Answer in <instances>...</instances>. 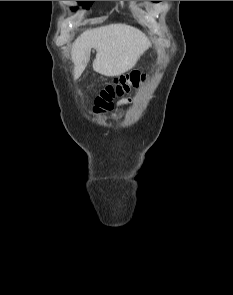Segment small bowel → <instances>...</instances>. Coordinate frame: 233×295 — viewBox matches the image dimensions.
<instances>
[{
    "label": "small bowel",
    "mask_w": 233,
    "mask_h": 295,
    "mask_svg": "<svg viewBox=\"0 0 233 295\" xmlns=\"http://www.w3.org/2000/svg\"><path fill=\"white\" fill-rule=\"evenodd\" d=\"M124 103H126V101H122V102H121V104H124Z\"/></svg>",
    "instance_id": "c3829d8e"
}]
</instances>
